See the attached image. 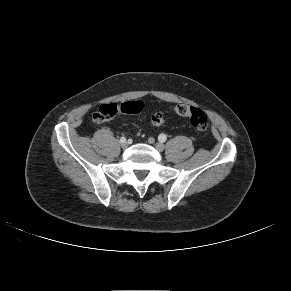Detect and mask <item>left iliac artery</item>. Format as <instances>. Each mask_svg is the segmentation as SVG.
I'll use <instances>...</instances> for the list:
<instances>
[{
  "label": "left iliac artery",
  "mask_w": 291,
  "mask_h": 291,
  "mask_svg": "<svg viewBox=\"0 0 291 291\" xmlns=\"http://www.w3.org/2000/svg\"><path fill=\"white\" fill-rule=\"evenodd\" d=\"M166 139H167V137H166V135L165 134H160L159 135V137H158V140L160 141V142H165L166 141Z\"/></svg>",
  "instance_id": "obj_1"
}]
</instances>
